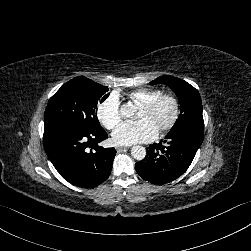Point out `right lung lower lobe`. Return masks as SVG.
<instances>
[{
  "label": "right lung lower lobe",
  "instance_id": "1",
  "mask_svg": "<svg viewBox=\"0 0 251 251\" xmlns=\"http://www.w3.org/2000/svg\"><path fill=\"white\" fill-rule=\"evenodd\" d=\"M107 138L101 126L84 129L51 120L45 122L43 144L48 158L66 181L83 188H94L103 183L112 170L116 150L97 146ZM88 146L95 151L89 152Z\"/></svg>",
  "mask_w": 251,
  "mask_h": 251
}]
</instances>
